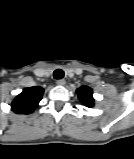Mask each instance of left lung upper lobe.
Here are the masks:
<instances>
[{
	"label": "left lung upper lobe",
	"instance_id": "5c2ea615",
	"mask_svg": "<svg viewBox=\"0 0 134 159\" xmlns=\"http://www.w3.org/2000/svg\"><path fill=\"white\" fill-rule=\"evenodd\" d=\"M77 94L82 104L87 107L94 106L93 92L91 88L87 86H82L77 89Z\"/></svg>",
	"mask_w": 134,
	"mask_h": 159
}]
</instances>
